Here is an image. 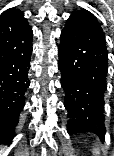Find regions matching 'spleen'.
Returning <instances> with one entry per match:
<instances>
[{
	"label": "spleen",
	"instance_id": "3e777b00",
	"mask_svg": "<svg viewBox=\"0 0 114 156\" xmlns=\"http://www.w3.org/2000/svg\"><path fill=\"white\" fill-rule=\"evenodd\" d=\"M92 153H93V156H100V149L95 146L92 148Z\"/></svg>",
	"mask_w": 114,
	"mask_h": 156
}]
</instances>
